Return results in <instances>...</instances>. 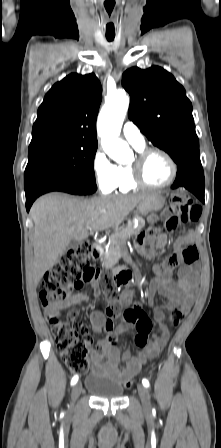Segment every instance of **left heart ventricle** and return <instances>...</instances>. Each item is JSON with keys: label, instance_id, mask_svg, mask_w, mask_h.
I'll return each mask as SVG.
<instances>
[{"label": "left heart ventricle", "instance_id": "1", "mask_svg": "<svg viewBox=\"0 0 221 448\" xmlns=\"http://www.w3.org/2000/svg\"><path fill=\"white\" fill-rule=\"evenodd\" d=\"M144 174L148 182L160 185L166 183L172 174L168 161L160 154H152L146 162Z\"/></svg>", "mask_w": 221, "mask_h": 448}]
</instances>
